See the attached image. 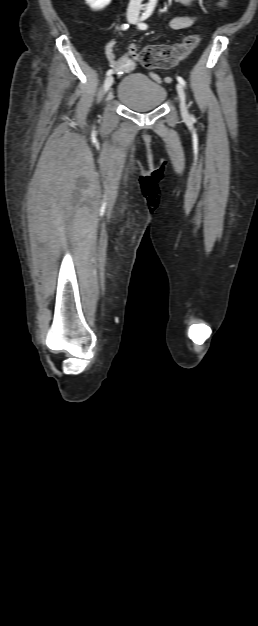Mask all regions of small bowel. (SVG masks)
<instances>
[{"mask_svg": "<svg viewBox=\"0 0 258 626\" xmlns=\"http://www.w3.org/2000/svg\"><path fill=\"white\" fill-rule=\"evenodd\" d=\"M196 1L198 0H175V2L180 3L184 6H192ZM227 2L228 0H219L217 4L219 6H224ZM196 21H197L196 16H178V17H174L173 19H171V21L169 22V26L175 30L185 29V28H189L190 26H192ZM106 55L111 66L114 67L117 71H124L131 66V61L128 56L122 55L119 57L117 55L116 47L113 42H110L107 45ZM150 77L151 79H153L155 82H158V83H161L163 81V79L158 74L153 73V72L150 73ZM164 81L169 83L171 82V78L165 77Z\"/></svg>", "mask_w": 258, "mask_h": 626, "instance_id": "c3829d8e", "label": "small bowel"}]
</instances>
